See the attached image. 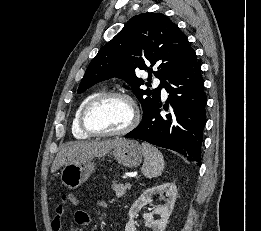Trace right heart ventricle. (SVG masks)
Wrapping results in <instances>:
<instances>
[{"instance_id": "obj_1", "label": "right heart ventricle", "mask_w": 261, "mask_h": 231, "mask_svg": "<svg viewBox=\"0 0 261 231\" xmlns=\"http://www.w3.org/2000/svg\"><path fill=\"white\" fill-rule=\"evenodd\" d=\"M100 91H95L90 93L89 95H87L86 97H84L82 99V101L79 103V105L77 106L73 117H72V122H71V131L73 136L76 139H88L91 137V135L85 133L81 126H80V115H81V111L83 109V107L94 97H96L98 94H100Z\"/></svg>"}]
</instances>
